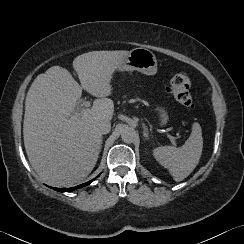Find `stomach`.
<instances>
[{"instance_id": "obj_1", "label": "stomach", "mask_w": 244, "mask_h": 244, "mask_svg": "<svg viewBox=\"0 0 244 244\" xmlns=\"http://www.w3.org/2000/svg\"><path fill=\"white\" fill-rule=\"evenodd\" d=\"M119 71H139L146 75H154L157 72V59L154 53L146 48L138 47L131 51L124 58L117 68ZM155 112L160 126H165L168 122V114L163 107L157 106Z\"/></svg>"}]
</instances>
